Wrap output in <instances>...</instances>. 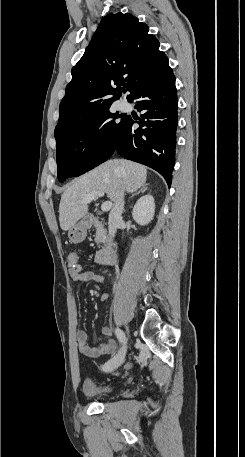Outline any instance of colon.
I'll use <instances>...</instances> for the list:
<instances>
[{"instance_id":"colon-1","label":"colon","mask_w":245,"mask_h":457,"mask_svg":"<svg viewBox=\"0 0 245 457\" xmlns=\"http://www.w3.org/2000/svg\"><path fill=\"white\" fill-rule=\"evenodd\" d=\"M68 262L72 269L80 268V266L78 264V256L75 252H71L68 254Z\"/></svg>"}]
</instances>
